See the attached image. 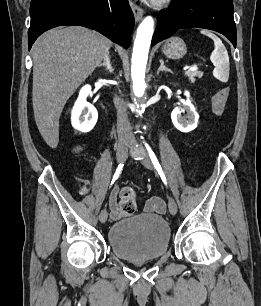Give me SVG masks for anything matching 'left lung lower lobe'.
Masks as SVG:
<instances>
[{"label":"left lung lower lobe","mask_w":261,"mask_h":306,"mask_svg":"<svg viewBox=\"0 0 261 306\" xmlns=\"http://www.w3.org/2000/svg\"><path fill=\"white\" fill-rule=\"evenodd\" d=\"M152 46L179 29L205 28L226 36L236 47V26L232 0H173L169 10L157 16Z\"/></svg>","instance_id":"0a47b994"}]
</instances>
